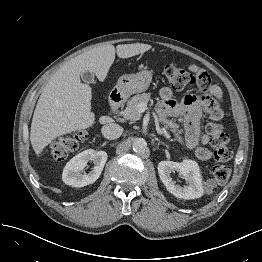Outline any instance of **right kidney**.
Instances as JSON below:
<instances>
[{"label":"right kidney","mask_w":262,"mask_h":262,"mask_svg":"<svg viewBox=\"0 0 262 262\" xmlns=\"http://www.w3.org/2000/svg\"><path fill=\"white\" fill-rule=\"evenodd\" d=\"M89 161L94 163L93 170L88 174H82L81 171ZM106 161L107 153L105 151L85 150L74 156L66 164L62 173V180L72 187H84L94 183L100 177Z\"/></svg>","instance_id":"obj_1"}]
</instances>
